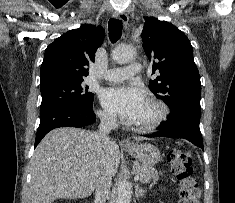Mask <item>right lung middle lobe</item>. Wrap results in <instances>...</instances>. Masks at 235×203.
<instances>
[{
    "mask_svg": "<svg viewBox=\"0 0 235 203\" xmlns=\"http://www.w3.org/2000/svg\"><path fill=\"white\" fill-rule=\"evenodd\" d=\"M82 82L83 79L63 80L40 85L42 95L40 112L62 104L92 105L94 94L88 92L89 87Z\"/></svg>",
    "mask_w": 235,
    "mask_h": 203,
    "instance_id": "1",
    "label": "right lung middle lobe"
}]
</instances>
